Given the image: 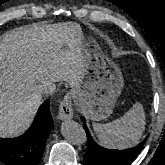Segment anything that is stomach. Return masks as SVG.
I'll list each match as a JSON object with an SVG mask.
<instances>
[{
    "mask_svg": "<svg viewBox=\"0 0 165 165\" xmlns=\"http://www.w3.org/2000/svg\"><path fill=\"white\" fill-rule=\"evenodd\" d=\"M80 45L86 74L76 94L80 108L87 117L100 121L112 113L123 89V76L119 67L102 53L91 35L82 34Z\"/></svg>",
    "mask_w": 165,
    "mask_h": 165,
    "instance_id": "0dacf381",
    "label": "stomach"
}]
</instances>
